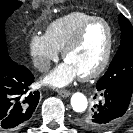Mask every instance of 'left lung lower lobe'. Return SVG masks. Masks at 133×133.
Wrapping results in <instances>:
<instances>
[{
    "label": "left lung lower lobe",
    "instance_id": "0a47b994",
    "mask_svg": "<svg viewBox=\"0 0 133 133\" xmlns=\"http://www.w3.org/2000/svg\"><path fill=\"white\" fill-rule=\"evenodd\" d=\"M100 91L104 100L94 105L91 116V121L100 129L88 133L103 131L119 121L125 114L133 94L120 87H107Z\"/></svg>",
    "mask_w": 133,
    "mask_h": 133
}]
</instances>
